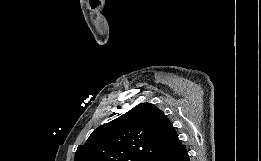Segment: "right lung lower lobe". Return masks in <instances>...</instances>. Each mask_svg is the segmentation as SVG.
I'll use <instances>...</instances> for the list:
<instances>
[{"instance_id":"98d812e1","label":"right lung lower lobe","mask_w":261,"mask_h":161,"mask_svg":"<svg viewBox=\"0 0 261 161\" xmlns=\"http://www.w3.org/2000/svg\"><path fill=\"white\" fill-rule=\"evenodd\" d=\"M150 161H189V156L185 145L177 149L155 156Z\"/></svg>"}]
</instances>
